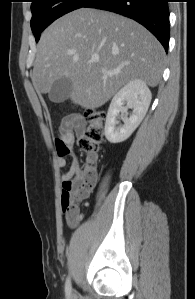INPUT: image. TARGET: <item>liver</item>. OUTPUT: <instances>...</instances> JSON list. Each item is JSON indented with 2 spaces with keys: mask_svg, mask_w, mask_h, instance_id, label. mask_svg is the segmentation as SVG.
I'll list each match as a JSON object with an SVG mask.
<instances>
[{
  "mask_svg": "<svg viewBox=\"0 0 195 299\" xmlns=\"http://www.w3.org/2000/svg\"><path fill=\"white\" fill-rule=\"evenodd\" d=\"M95 56L98 62H92ZM164 58L159 41L136 21L85 7L60 17L43 32L31 79L36 91L46 94L56 80L69 78L71 101L93 110L132 80L155 87Z\"/></svg>",
  "mask_w": 195,
  "mask_h": 299,
  "instance_id": "1",
  "label": "liver"
}]
</instances>
